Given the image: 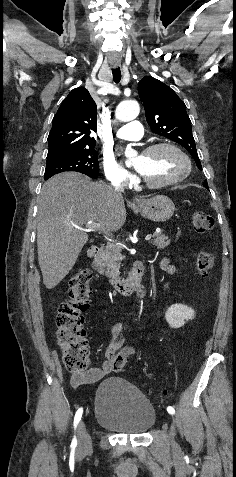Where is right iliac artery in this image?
<instances>
[{
	"instance_id": "1",
	"label": "right iliac artery",
	"mask_w": 236,
	"mask_h": 477,
	"mask_svg": "<svg viewBox=\"0 0 236 477\" xmlns=\"http://www.w3.org/2000/svg\"><path fill=\"white\" fill-rule=\"evenodd\" d=\"M82 413H83V408H79L75 414V417H74V428L77 427L79 421L81 420V417H82ZM71 446L73 447H76L77 446V439H76V436H74L73 440H72V443H71Z\"/></svg>"
}]
</instances>
